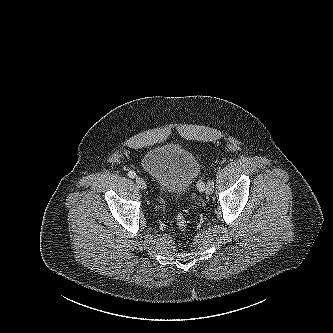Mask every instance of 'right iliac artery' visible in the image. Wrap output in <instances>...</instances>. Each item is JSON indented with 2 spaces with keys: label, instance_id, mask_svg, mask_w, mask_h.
<instances>
[{
  "label": "right iliac artery",
  "instance_id": "1",
  "mask_svg": "<svg viewBox=\"0 0 333 333\" xmlns=\"http://www.w3.org/2000/svg\"><path fill=\"white\" fill-rule=\"evenodd\" d=\"M128 176H129L130 178H135V177H136V173H135L134 171H130V172L128 173Z\"/></svg>",
  "mask_w": 333,
  "mask_h": 333
}]
</instances>
